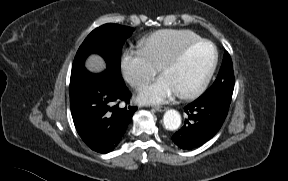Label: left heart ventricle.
Returning a JSON list of instances; mask_svg holds the SVG:
<instances>
[{
    "mask_svg": "<svg viewBox=\"0 0 288 181\" xmlns=\"http://www.w3.org/2000/svg\"><path fill=\"white\" fill-rule=\"evenodd\" d=\"M215 51L209 44H201L192 49L175 67L162 76L174 87L176 92L190 90L200 84L210 71Z\"/></svg>",
    "mask_w": 288,
    "mask_h": 181,
    "instance_id": "obj_1",
    "label": "left heart ventricle"
}]
</instances>
